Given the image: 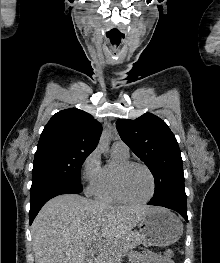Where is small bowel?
Here are the masks:
<instances>
[{
  "mask_svg": "<svg viewBox=\"0 0 220 263\" xmlns=\"http://www.w3.org/2000/svg\"><path fill=\"white\" fill-rule=\"evenodd\" d=\"M139 263H174V262L167 260L163 256L147 253L141 258Z\"/></svg>",
  "mask_w": 220,
  "mask_h": 263,
  "instance_id": "1",
  "label": "small bowel"
}]
</instances>
